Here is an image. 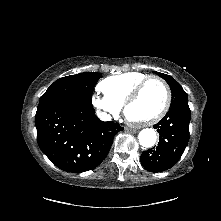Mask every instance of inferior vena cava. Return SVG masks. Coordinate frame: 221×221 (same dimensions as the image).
Returning <instances> with one entry per match:
<instances>
[{
	"label": "inferior vena cava",
	"mask_w": 221,
	"mask_h": 221,
	"mask_svg": "<svg viewBox=\"0 0 221 221\" xmlns=\"http://www.w3.org/2000/svg\"><path fill=\"white\" fill-rule=\"evenodd\" d=\"M97 116L103 121H110L112 118L109 114L105 112H98Z\"/></svg>",
	"instance_id": "inferior-vena-cava-1"
}]
</instances>
